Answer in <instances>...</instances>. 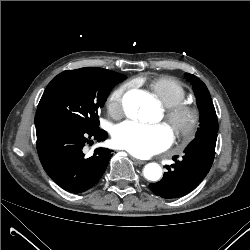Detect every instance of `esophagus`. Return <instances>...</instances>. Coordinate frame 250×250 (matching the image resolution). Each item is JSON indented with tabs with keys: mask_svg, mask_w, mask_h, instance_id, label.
<instances>
[{
	"mask_svg": "<svg viewBox=\"0 0 250 250\" xmlns=\"http://www.w3.org/2000/svg\"><path fill=\"white\" fill-rule=\"evenodd\" d=\"M133 162L136 164V165H142L145 163V161L143 160H139V159H136V158H132Z\"/></svg>",
	"mask_w": 250,
	"mask_h": 250,
	"instance_id": "34e87169",
	"label": "esophagus"
}]
</instances>
